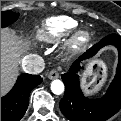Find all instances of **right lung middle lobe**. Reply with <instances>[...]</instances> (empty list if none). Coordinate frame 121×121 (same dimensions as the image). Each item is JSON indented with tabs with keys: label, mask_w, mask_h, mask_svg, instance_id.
<instances>
[{
	"label": "right lung middle lobe",
	"mask_w": 121,
	"mask_h": 121,
	"mask_svg": "<svg viewBox=\"0 0 121 121\" xmlns=\"http://www.w3.org/2000/svg\"><path fill=\"white\" fill-rule=\"evenodd\" d=\"M19 17V13H14L11 11L1 12V27H7L13 22H15Z\"/></svg>",
	"instance_id": "obj_1"
}]
</instances>
